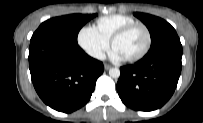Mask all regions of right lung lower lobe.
<instances>
[{
  "label": "right lung lower lobe",
  "mask_w": 203,
  "mask_h": 123,
  "mask_svg": "<svg viewBox=\"0 0 203 123\" xmlns=\"http://www.w3.org/2000/svg\"><path fill=\"white\" fill-rule=\"evenodd\" d=\"M29 69L34 88L45 104L73 112L90 99L103 63L78 45L52 40L30 41Z\"/></svg>",
  "instance_id": "obj_1"
}]
</instances>
